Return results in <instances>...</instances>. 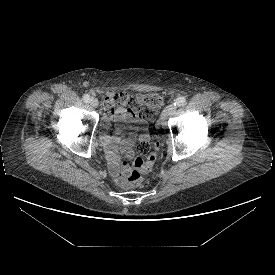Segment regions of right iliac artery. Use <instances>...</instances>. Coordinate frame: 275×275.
I'll list each match as a JSON object with an SVG mask.
<instances>
[{
	"mask_svg": "<svg viewBox=\"0 0 275 275\" xmlns=\"http://www.w3.org/2000/svg\"><path fill=\"white\" fill-rule=\"evenodd\" d=\"M89 100H90V96L88 94H84L83 101L87 103V102H89Z\"/></svg>",
	"mask_w": 275,
	"mask_h": 275,
	"instance_id": "82829eb1",
	"label": "right iliac artery"
}]
</instances>
